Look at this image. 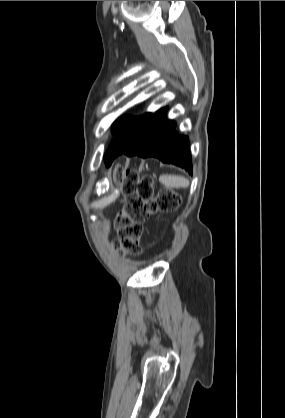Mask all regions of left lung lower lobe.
I'll list each match as a JSON object with an SVG mask.
<instances>
[{
  "mask_svg": "<svg viewBox=\"0 0 285 418\" xmlns=\"http://www.w3.org/2000/svg\"><path fill=\"white\" fill-rule=\"evenodd\" d=\"M166 111L167 107L151 116L121 154L129 157H156L164 163L178 165L191 173L188 137L177 134L176 123L166 120Z\"/></svg>",
  "mask_w": 285,
  "mask_h": 418,
  "instance_id": "left-lung-lower-lobe-1",
  "label": "left lung lower lobe"
}]
</instances>
